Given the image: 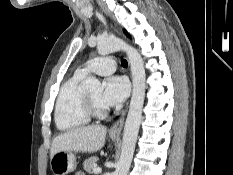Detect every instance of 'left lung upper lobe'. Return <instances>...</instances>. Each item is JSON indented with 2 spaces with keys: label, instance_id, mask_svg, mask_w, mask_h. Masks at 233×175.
<instances>
[{
  "label": "left lung upper lobe",
  "instance_id": "obj_1",
  "mask_svg": "<svg viewBox=\"0 0 233 175\" xmlns=\"http://www.w3.org/2000/svg\"><path fill=\"white\" fill-rule=\"evenodd\" d=\"M124 33L127 34V36H128V33L125 30H124Z\"/></svg>",
  "mask_w": 233,
  "mask_h": 175
}]
</instances>
